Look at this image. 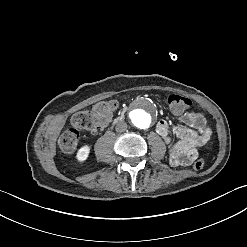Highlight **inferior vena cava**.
Masks as SVG:
<instances>
[{
	"instance_id": "602c4592",
	"label": "inferior vena cava",
	"mask_w": 247,
	"mask_h": 247,
	"mask_svg": "<svg viewBox=\"0 0 247 247\" xmlns=\"http://www.w3.org/2000/svg\"><path fill=\"white\" fill-rule=\"evenodd\" d=\"M127 130V124L125 122H119L116 124V131L117 132H124Z\"/></svg>"
}]
</instances>
